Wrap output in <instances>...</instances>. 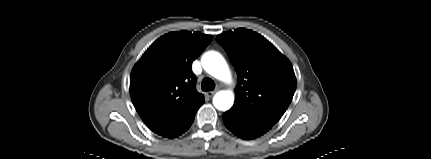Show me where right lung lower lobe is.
Returning a JSON list of instances; mask_svg holds the SVG:
<instances>
[{"mask_svg": "<svg viewBox=\"0 0 431 159\" xmlns=\"http://www.w3.org/2000/svg\"><path fill=\"white\" fill-rule=\"evenodd\" d=\"M195 115L190 119V121L185 125V127L181 130V132L179 134H177L175 137L181 135L182 133H184L193 123Z\"/></svg>", "mask_w": 431, "mask_h": 159, "instance_id": "obj_1", "label": "right lung lower lobe"}]
</instances>
